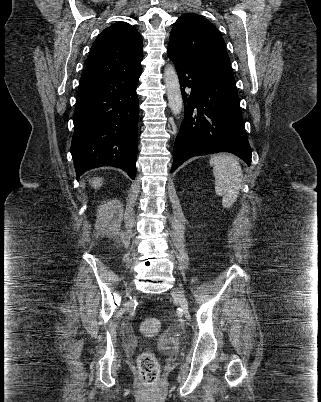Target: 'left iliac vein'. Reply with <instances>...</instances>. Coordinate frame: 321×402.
Wrapping results in <instances>:
<instances>
[{"instance_id": "4c4485c4", "label": "left iliac vein", "mask_w": 321, "mask_h": 402, "mask_svg": "<svg viewBox=\"0 0 321 402\" xmlns=\"http://www.w3.org/2000/svg\"><path fill=\"white\" fill-rule=\"evenodd\" d=\"M172 296L184 310L188 309L187 299H186L184 293L180 289H178V288L173 289Z\"/></svg>"}]
</instances>
